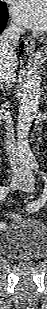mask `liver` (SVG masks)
<instances>
[{"label":"liver","mask_w":47,"mask_h":309,"mask_svg":"<svg viewBox=\"0 0 47 309\" xmlns=\"http://www.w3.org/2000/svg\"><path fill=\"white\" fill-rule=\"evenodd\" d=\"M17 65H18V59H16L15 62H14L15 69L17 68Z\"/></svg>","instance_id":"liver-1"}]
</instances>
